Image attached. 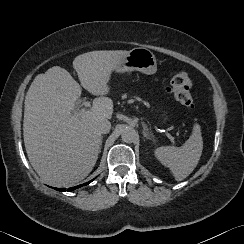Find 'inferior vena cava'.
Segmentation results:
<instances>
[{
  "instance_id": "602c4592",
  "label": "inferior vena cava",
  "mask_w": 244,
  "mask_h": 244,
  "mask_svg": "<svg viewBox=\"0 0 244 244\" xmlns=\"http://www.w3.org/2000/svg\"><path fill=\"white\" fill-rule=\"evenodd\" d=\"M96 127L100 134H106L111 129V123L107 119H101L97 122Z\"/></svg>"
}]
</instances>
